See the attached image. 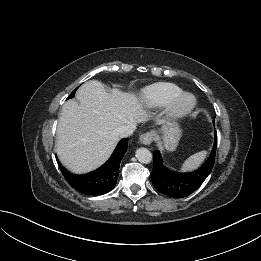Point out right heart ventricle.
<instances>
[{
  "mask_svg": "<svg viewBox=\"0 0 261 261\" xmlns=\"http://www.w3.org/2000/svg\"><path fill=\"white\" fill-rule=\"evenodd\" d=\"M182 92V88L173 83L160 82L147 86L141 99L146 108L159 109L168 106Z\"/></svg>",
  "mask_w": 261,
  "mask_h": 261,
  "instance_id": "right-heart-ventricle-1",
  "label": "right heart ventricle"
}]
</instances>
